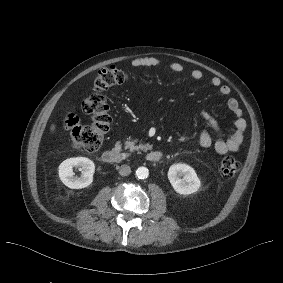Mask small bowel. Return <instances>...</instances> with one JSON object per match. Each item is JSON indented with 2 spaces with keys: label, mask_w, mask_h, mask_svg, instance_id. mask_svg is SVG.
I'll return each mask as SVG.
<instances>
[{
  "label": "small bowel",
  "mask_w": 283,
  "mask_h": 283,
  "mask_svg": "<svg viewBox=\"0 0 283 283\" xmlns=\"http://www.w3.org/2000/svg\"><path fill=\"white\" fill-rule=\"evenodd\" d=\"M161 60L157 57H142L136 58L131 62L132 67H157L160 66ZM168 68L175 72L181 73L184 71V66L181 63L173 62L168 65ZM191 78L199 80L203 77V73L199 69H193L190 72ZM211 85L219 87V93L226 99V105L228 110L234 115V123L231 134L225 137L221 131V128L217 120L207 111H202L201 116L204 121L217 133L218 138L214 143V149L218 154H226L229 152H236L240 148L244 134L246 131V121L242 116V111L236 99L230 97V89L225 85H221V80L218 76H211L209 78ZM198 144L201 147H209L212 144L210 134L203 130L201 131L198 139Z\"/></svg>",
  "instance_id": "1"
}]
</instances>
